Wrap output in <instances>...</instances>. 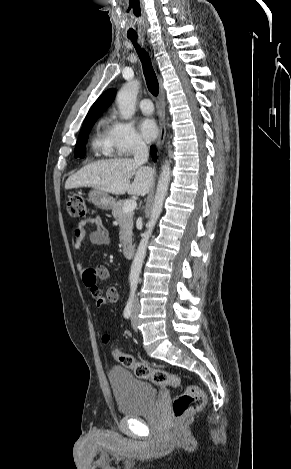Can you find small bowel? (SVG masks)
Returning <instances> with one entry per match:
<instances>
[{"label":"small bowel","instance_id":"c3829d8e","mask_svg":"<svg viewBox=\"0 0 291 469\" xmlns=\"http://www.w3.org/2000/svg\"><path fill=\"white\" fill-rule=\"evenodd\" d=\"M90 225L95 226V230L91 231L88 234L87 228ZM74 249L79 251L82 247V242L86 235H89V238L93 244L104 245L108 243V237L104 230L102 220L99 217L88 218L82 221H79L75 224L74 230ZM77 269L82 271V278L85 286L89 289L90 294L93 298L96 296H101L106 303L107 302H116L119 298L118 290L114 287H111L107 290L106 295L104 296L97 286L98 280H105L109 276L108 269L103 266H97L93 269L84 270L82 264H77Z\"/></svg>","mask_w":291,"mask_h":469}]
</instances>
